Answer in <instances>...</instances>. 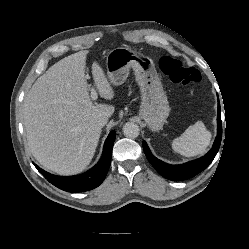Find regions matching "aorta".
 Listing matches in <instances>:
<instances>
[{"label": "aorta", "instance_id": "1", "mask_svg": "<svg viewBox=\"0 0 249 249\" xmlns=\"http://www.w3.org/2000/svg\"><path fill=\"white\" fill-rule=\"evenodd\" d=\"M139 126L133 122H127L123 126V134L128 138H136L139 136Z\"/></svg>", "mask_w": 249, "mask_h": 249}]
</instances>
